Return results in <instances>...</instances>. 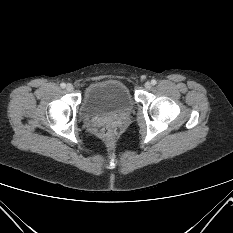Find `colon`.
I'll use <instances>...</instances> for the list:
<instances>
[{
    "label": "colon",
    "mask_w": 233,
    "mask_h": 233,
    "mask_svg": "<svg viewBox=\"0 0 233 233\" xmlns=\"http://www.w3.org/2000/svg\"><path fill=\"white\" fill-rule=\"evenodd\" d=\"M100 135L105 139H111L115 135V129L111 125H105L101 128Z\"/></svg>",
    "instance_id": "colon-1"
}]
</instances>
